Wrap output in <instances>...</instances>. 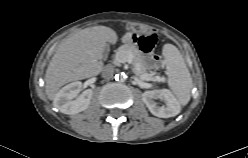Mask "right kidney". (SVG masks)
<instances>
[{"mask_svg": "<svg viewBox=\"0 0 248 158\" xmlns=\"http://www.w3.org/2000/svg\"><path fill=\"white\" fill-rule=\"evenodd\" d=\"M82 83L73 82L63 87L55 97L56 108L64 114H77L86 110L90 104V100L93 95L91 89H87L77 97L81 92Z\"/></svg>", "mask_w": 248, "mask_h": 158, "instance_id": "right-kidney-1", "label": "right kidney"}]
</instances>
